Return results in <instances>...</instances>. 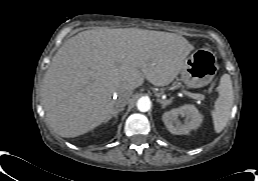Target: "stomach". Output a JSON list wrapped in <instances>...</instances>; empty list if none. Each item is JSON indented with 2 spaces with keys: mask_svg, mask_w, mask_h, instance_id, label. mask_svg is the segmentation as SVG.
<instances>
[{
  "mask_svg": "<svg viewBox=\"0 0 258 181\" xmlns=\"http://www.w3.org/2000/svg\"><path fill=\"white\" fill-rule=\"evenodd\" d=\"M218 64L215 54L205 48L195 50L185 59L180 71V80L188 88H200L208 85L217 74Z\"/></svg>",
  "mask_w": 258,
  "mask_h": 181,
  "instance_id": "0dacf381",
  "label": "stomach"
}]
</instances>
